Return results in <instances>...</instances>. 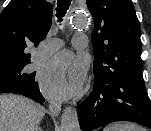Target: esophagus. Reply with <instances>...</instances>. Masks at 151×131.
<instances>
[{
	"mask_svg": "<svg viewBox=\"0 0 151 131\" xmlns=\"http://www.w3.org/2000/svg\"><path fill=\"white\" fill-rule=\"evenodd\" d=\"M61 103L56 100H51L49 102V111L52 115L57 116L61 111Z\"/></svg>",
	"mask_w": 151,
	"mask_h": 131,
	"instance_id": "1",
	"label": "esophagus"
}]
</instances>
